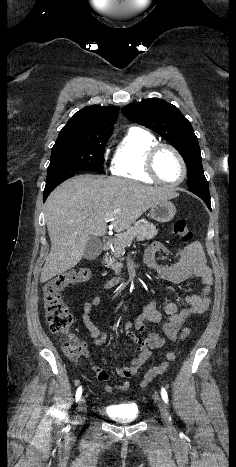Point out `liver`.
Wrapping results in <instances>:
<instances>
[{
	"label": "liver",
	"mask_w": 236,
	"mask_h": 467,
	"mask_svg": "<svg viewBox=\"0 0 236 467\" xmlns=\"http://www.w3.org/2000/svg\"><path fill=\"white\" fill-rule=\"evenodd\" d=\"M169 187H150L119 178L78 175L57 187L45 203L51 250L40 282L76 266L92 236H104L108 218L116 232L128 229L151 206L176 198Z\"/></svg>",
	"instance_id": "1"
}]
</instances>
